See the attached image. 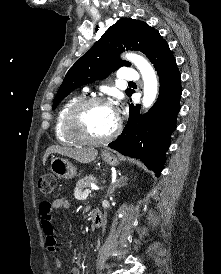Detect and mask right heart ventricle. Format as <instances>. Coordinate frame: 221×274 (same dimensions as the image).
<instances>
[{
    "instance_id": "1",
    "label": "right heart ventricle",
    "mask_w": 221,
    "mask_h": 274,
    "mask_svg": "<svg viewBox=\"0 0 221 274\" xmlns=\"http://www.w3.org/2000/svg\"><path fill=\"white\" fill-rule=\"evenodd\" d=\"M84 99L83 96H73L66 100L57 112L54 123V135L56 140L65 145H75L78 141L71 138L65 130V117L69 109L78 101Z\"/></svg>"
}]
</instances>
